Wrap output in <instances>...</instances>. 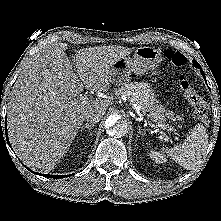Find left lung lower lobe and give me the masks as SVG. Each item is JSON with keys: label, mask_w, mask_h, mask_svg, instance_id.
I'll return each mask as SVG.
<instances>
[{"label": "left lung lower lobe", "mask_w": 221, "mask_h": 221, "mask_svg": "<svg viewBox=\"0 0 221 221\" xmlns=\"http://www.w3.org/2000/svg\"><path fill=\"white\" fill-rule=\"evenodd\" d=\"M199 69H200V71H201V73H202V75H203V77H204V79L206 81L205 74H204L203 70L200 67H199Z\"/></svg>", "instance_id": "obj_1"}]
</instances>
